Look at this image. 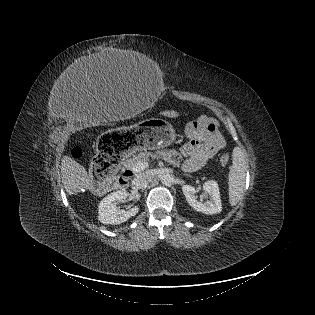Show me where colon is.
Masks as SVG:
<instances>
[{"mask_svg":"<svg viewBox=\"0 0 315 315\" xmlns=\"http://www.w3.org/2000/svg\"><path fill=\"white\" fill-rule=\"evenodd\" d=\"M168 117H176L177 112L168 111L165 113ZM74 154L79 157L81 154L80 149H75ZM229 155L224 153L220 157V163L227 165L229 162ZM118 158L106 152H99L93 159L91 165V174L93 177V189L97 192L105 190L110 185L116 182Z\"/></svg>","mask_w":315,"mask_h":315,"instance_id":"colon-1","label":"colon"}]
</instances>
